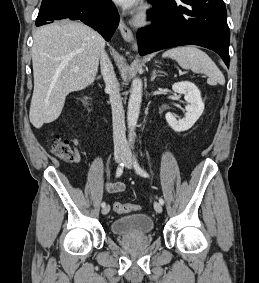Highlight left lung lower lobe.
Segmentation results:
<instances>
[{
  "label": "left lung lower lobe",
  "mask_w": 259,
  "mask_h": 283,
  "mask_svg": "<svg viewBox=\"0 0 259 283\" xmlns=\"http://www.w3.org/2000/svg\"><path fill=\"white\" fill-rule=\"evenodd\" d=\"M153 24L138 31L139 54L180 45L215 51L229 67L230 31L223 0H148Z\"/></svg>",
  "instance_id": "left-lung-lower-lobe-1"
}]
</instances>
